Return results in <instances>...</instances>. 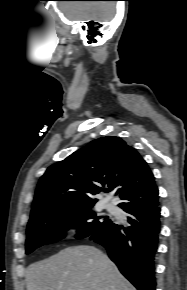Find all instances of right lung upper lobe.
<instances>
[{"instance_id": "obj_1", "label": "right lung upper lobe", "mask_w": 187, "mask_h": 290, "mask_svg": "<svg viewBox=\"0 0 187 290\" xmlns=\"http://www.w3.org/2000/svg\"><path fill=\"white\" fill-rule=\"evenodd\" d=\"M114 189L123 210L158 202L155 178L145 160L121 138L106 136L47 169L38 183L28 225L53 212L94 205L92 195Z\"/></svg>"}]
</instances>
